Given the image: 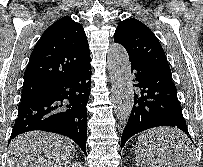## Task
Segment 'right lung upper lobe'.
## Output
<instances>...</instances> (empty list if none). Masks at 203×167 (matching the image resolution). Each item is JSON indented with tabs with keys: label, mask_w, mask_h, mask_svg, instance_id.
I'll return each instance as SVG.
<instances>
[{
	"label": "right lung upper lobe",
	"mask_w": 203,
	"mask_h": 167,
	"mask_svg": "<svg viewBox=\"0 0 203 167\" xmlns=\"http://www.w3.org/2000/svg\"><path fill=\"white\" fill-rule=\"evenodd\" d=\"M90 61L82 25L64 16L49 26L31 53L21 101L46 96L62 80Z\"/></svg>",
	"instance_id": "right-lung-upper-lobe-1"
}]
</instances>
